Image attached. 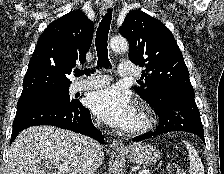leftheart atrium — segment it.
Here are the masks:
<instances>
[{"mask_svg":"<svg viewBox=\"0 0 224 174\" xmlns=\"http://www.w3.org/2000/svg\"><path fill=\"white\" fill-rule=\"evenodd\" d=\"M87 104L100 119L120 129H127L137 112L131 96L115 86L92 92Z\"/></svg>","mask_w":224,"mask_h":174,"instance_id":"1","label":"left heart atrium"}]
</instances>
